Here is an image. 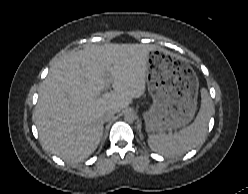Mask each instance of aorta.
Segmentation results:
<instances>
[{"instance_id": "1", "label": "aorta", "mask_w": 248, "mask_h": 194, "mask_svg": "<svg viewBox=\"0 0 248 194\" xmlns=\"http://www.w3.org/2000/svg\"><path fill=\"white\" fill-rule=\"evenodd\" d=\"M135 114L132 113V112H127L125 115H124V120L128 123H133L135 121Z\"/></svg>"}]
</instances>
